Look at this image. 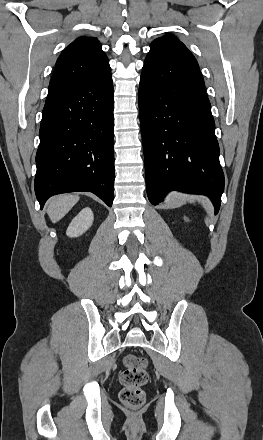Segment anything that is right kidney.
Returning <instances> with one entry per match:
<instances>
[{
    "mask_svg": "<svg viewBox=\"0 0 263 440\" xmlns=\"http://www.w3.org/2000/svg\"><path fill=\"white\" fill-rule=\"evenodd\" d=\"M94 220L93 212L89 207L82 209L79 214L71 221L67 228L68 237H78L87 231Z\"/></svg>",
    "mask_w": 263,
    "mask_h": 440,
    "instance_id": "1",
    "label": "right kidney"
}]
</instances>
